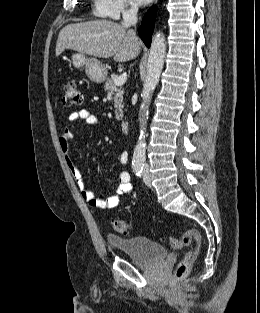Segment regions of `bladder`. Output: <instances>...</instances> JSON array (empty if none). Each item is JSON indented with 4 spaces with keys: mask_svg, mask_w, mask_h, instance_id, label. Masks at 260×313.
Here are the masks:
<instances>
[{
    "mask_svg": "<svg viewBox=\"0 0 260 313\" xmlns=\"http://www.w3.org/2000/svg\"><path fill=\"white\" fill-rule=\"evenodd\" d=\"M109 246L130 256L132 261L142 267H150L167 256L166 248L145 237H120L108 235Z\"/></svg>",
    "mask_w": 260,
    "mask_h": 313,
    "instance_id": "bladder-1",
    "label": "bladder"
}]
</instances>
